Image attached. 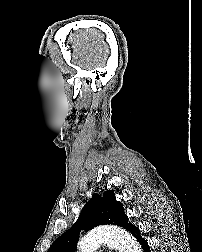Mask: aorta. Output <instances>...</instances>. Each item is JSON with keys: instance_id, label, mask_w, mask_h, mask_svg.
<instances>
[{"instance_id": "obj_1", "label": "aorta", "mask_w": 202, "mask_h": 252, "mask_svg": "<svg viewBox=\"0 0 202 252\" xmlns=\"http://www.w3.org/2000/svg\"><path fill=\"white\" fill-rule=\"evenodd\" d=\"M118 249L119 252H141V247L127 231L118 227H106L86 235L78 244L79 252H95L101 243Z\"/></svg>"}]
</instances>
